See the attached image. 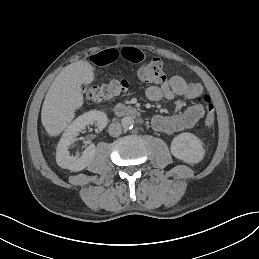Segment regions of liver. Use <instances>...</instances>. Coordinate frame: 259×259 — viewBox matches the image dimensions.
Segmentation results:
<instances>
[{
  "label": "liver",
  "instance_id": "6515ba94",
  "mask_svg": "<svg viewBox=\"0 0 259 259\" xmlns=\"http://www.w3.org/2000/svg\"><path fill=\"white\" fill-rule=\"evenodd\" d=\"M96 79L90 62L78 60L66 66L53 80L41 109V123L49 138L58 137L84 105L82 85L90 86Z\"/></svg>",
  "mask_w": 259,
  "mask_h": 259
}]
</instances>
